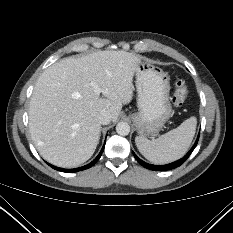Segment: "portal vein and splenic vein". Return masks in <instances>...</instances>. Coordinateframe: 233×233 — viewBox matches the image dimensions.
I'll return each mask as SVG.
<instances>
[{"label": "portal vein and splenic vein", "mask_w": 233, "mask_h": 233, "mask_svg": "<svg viewBox=\"0 0 233 233\" xmlns=\"http://www.w3.org/2000/svg\"><path fill=\"white\" fill-rule=\"evenodd\" d=\"M92 86H93V88H94L95 93H96V94H100L101 89L99 88V86L96 85L95 83H92Z\"/></svg>", "instance_id": "obj_1"}]
</instances>
